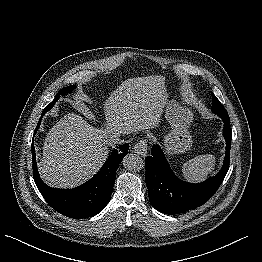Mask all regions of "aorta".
Instances as JSON below:
<instances>
[{
	"label": "aorta",
	"mask_w": 262,
	"mask_h": 262,
	"mask_svg": "<svg viewBox=\"0 0 262 262\" xmlns=\"http://www.w3.org/2000/svg\"><path fill=\"white\" fill-rule=\"evenodd\" d=\"M123 166L129 171H138L143 167V159L136 154H127L123 159Z\"/></svg>",
	"instance_id": "762f6f07"
}]
</instances>
